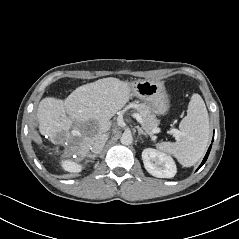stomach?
Segmentation results:
<instances>
[{
	"label": "stomach",
	"instance_id": "1",
	"mask_svg": "<svg viewBox=\"0 0 239 239\" xmlns=\"http://www.w3.org/2000/svg\"><path fill=\"white\" fill-rule=\"evenodd\" d=\"M132 95L148 104L154 113L165 115L170 108L169 96L162 82L139 80L130 85Z\"/></svg>",
	"mask_w": 239,
	"mask_h": 239
}]
</instances>
